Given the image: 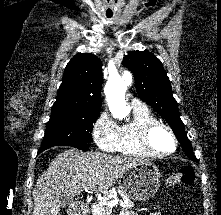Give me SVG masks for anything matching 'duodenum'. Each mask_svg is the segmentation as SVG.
Instances as JSON below:
<instances>
[{"label": "duodenum", "mask_w": 221, "mask_h": 215, "mask_svg": "<svg viewBox=\"0 0 221 215\" xmlns=\"http://www.w3.org/2000/svg\"><path fill=\"white\" fill-rule=\"evenodd\" d=\"M89 210H90V205H86L82 212L75 213L74 215H88Z\"/></svg>", "instance_id": "obj_1"}]
</instances>
